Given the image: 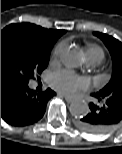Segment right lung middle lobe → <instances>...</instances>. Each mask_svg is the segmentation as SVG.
Here are the masks:
<instances>
[{
    "label": "right lung middle lobe",
    "instance_id": "1",
    "mask_svg": "<svg viewBox=\"0 0 122 154\" xmlns=\"http://www.w3.org/2000/svg\"><path fill=\"white\" fill-rule=\"evenodd\" d=\"M52 45L33 38L21 24L1 31V84L27 85L48 65Z\"/></svg>",
    "mask_w": 122,
    "mask_h": 154
}]
</instances>
